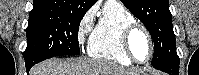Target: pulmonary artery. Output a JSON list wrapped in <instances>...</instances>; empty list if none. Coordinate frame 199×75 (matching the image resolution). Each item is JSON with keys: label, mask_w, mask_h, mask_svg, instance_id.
<instances>
[{"label": "pulmonary artery", "mask_w": 199, "mask_h": 75, "mask_svg": "<svg viewBox=\"0 0 199 75\" xmlns=\"http://www.w3.org/2000/svg\"><path fill=\"white\" fill-rule=\"evenodd\" d=\"M115 3H118V2H116V1H107V3L105 4V6L113 5Z\"/></svg>", "instance_id": "obj_1"}]
</instances>
